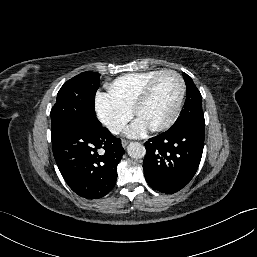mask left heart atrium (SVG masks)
Returning <instances> with one entry per match:
<instances>
[{
	"mask_svg": "<svg viewBox=\"0 0 257 257\" xmlns=\"http://www.w3.org/2000/svg\"><path fill=\"white\" fill-rule=\"evenodd\" d=\"M149 127L147 124L140 118L134 120V122L127 128L126 135L130 138H139L144 136Z\"/></svg>",
	"mask_w": 257,
	"mask_h": 257,
	"instance_id": "obj_1",
	"label": "left heart atrium"
}]
</instances>
